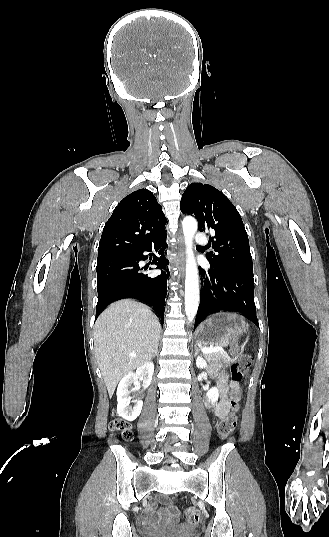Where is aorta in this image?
<instances>
[{
	"instance_id": "obj_1",
	"label": "aorta",
	"mask_w": 329,
	"mask_h": 537,
	"mask_svg": "<svg viewBox=\"0 0 329 537\" xmlns=\"http://www.w3.org/2000/svg\"><path fill=\"white\" fill-rule=\"evenodd\" d=\"M186 245V277H185V313L191 323L199 306V276L193 252V238L197 231V221L193 217H185L182 222Z\"/></svg>"
}]
</instances>
